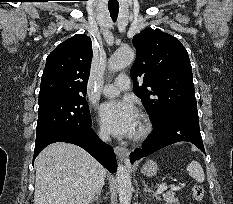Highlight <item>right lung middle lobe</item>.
I'll list each match as a JSON object with an SVG mask.
<instances>
[{"instance_id": "right-lung-middle-lobe-1", "label": "right lung middle lobe", "mask_w": 233, "mask_h": 204, "mask_svg": "<svg viewBox=\"0 0 233 204\" xmlns=\"http://www.w3.org/2000/svg\"><path fill=\"white\" fill-rule=\"evenodd\" d=\"M89 126V107L83 96L39 101L36 143L64 131Z\"/></svg>"}]
</instances>
